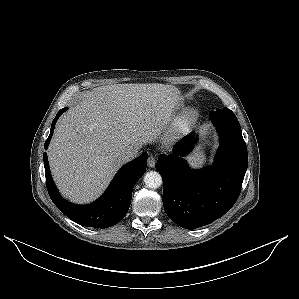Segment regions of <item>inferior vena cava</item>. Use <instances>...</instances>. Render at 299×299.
I'll return each instance as SVG.
<instances>
[{"label": "inferior vena cava", "instance_id": "602c4592", "mask_svg": "<svg viewBox=\"0 0 299 299\" xmlns=\"http://www.w3.org/2000/svg\"><path fill=\"white\" fill-rule=\"evenodd\" d=\"M141 148V146H130L127 149H125L121 155L120 159L126 163L129 162L130 160L134 159L138 155V150Z\"/></svg>", "mask_w": 299, "mask_h": 299}]
</instances>
